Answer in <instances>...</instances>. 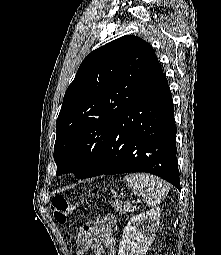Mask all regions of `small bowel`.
<instances>
[{
	"instance_id": "obj_1",
	"label": "small bowel",
	"mask_w": 221,
	"mask_h": 255,
	"mask_svg": "<svg viewBox=\"0 0 221 255\" xmlns=\"http://www.w3.org/2000/svg\"><path fill=\"white\" fill-rule=\"evenodd\" d=\"M113 216H104L84 224L76 241V255H116V244L113 238Z\"/></svg>"
}]
</instances>
